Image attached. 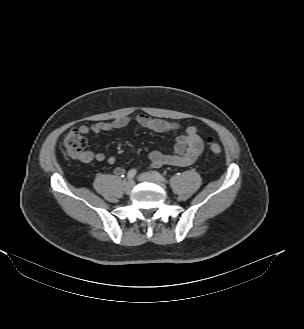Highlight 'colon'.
<instances>
[{
    "label": "colon",
    "instance_id": "obj_1",
    "mask_svg": "<svg viewBox=\"0 0 304 329\" xmlns=\"http://www.w3.org/2000/svg\"><path fill=\"white\" fill-rule=\"evenodd\" d=\"M206 142L212 153L220 154L222 152V147L214 138L208 137ZM62 146L67 156L72 159H80L86 146V140L80 128H69L62 138Z\"/></svg>",
    "mask_w": 304,
    "mask_h": 329
}]
</instances>
